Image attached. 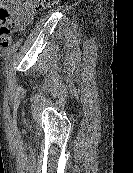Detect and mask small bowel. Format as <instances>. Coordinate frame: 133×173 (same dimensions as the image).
<instances>
[{
  "label": "small bowel",
  "instance_id": "1",
  "mask_svg": "<svg viewBox=\"0 0 133 173\" xmlns=\"http://www.w3.org/2000/svg\"><path fill=\"white\" fill-rule=\"evenodd\" d=\"M10 5L15 11V24L18 28H23L32 20V12L22 7V0H0V6Z\"/></svg>",
  "mask_w": 133,
  "mask_h": 173
}]
</instances>
